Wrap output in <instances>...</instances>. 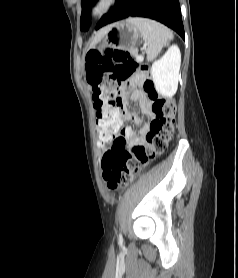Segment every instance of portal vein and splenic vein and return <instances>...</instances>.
<instances>
[{"label":"portal vein and splenic vein","mask_w":238,"mask_h":278,"mask_svg":"<svg viewBox=\"0 0 238 278\" xmlns=\"http://www.w3.org/2000/svg\"><path fill=\"white\" fill-rule=\"evenodd\" d=\"M137 60L143 61V56H138V57H137Z\"/></svg>","instance_id":"portal-vein-and-splenic-vein-1"}]
</instances>
